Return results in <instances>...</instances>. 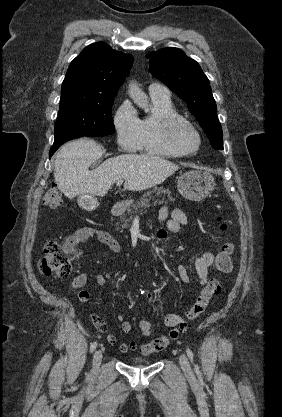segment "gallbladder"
Segmentation results:
<instances>
[{"label":"gallbladder","instance_id":"bac80fb5","mask_svg":"<svg viewBox=\"0 0 282 417\" xmlns=\"http://www.w3.org/2000/svg\"><path fill=\"white\" fill-rule=\"evenodd\" d=\"M84 200H89V198L84 196V194H80V196H78V202H84Z\"/></svg>","mask_w":282,"mask_h":417}]
</instances>
